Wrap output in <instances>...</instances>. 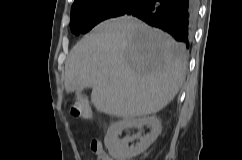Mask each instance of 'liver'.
Listing matches in <instances>:
<instances>
[{
    "label": "liver",
    "mask_w": 242,
    "mask_h": 160,
    "mask_svg": "<svg viewBox=\"0 0 242 160\" xmlns=\"http://www.w3.org/2000/svg\"><path fill=\"white\" fill-rule=\"evenodd\" d=\"M185 47L142 21L123 16L98 24L71 50L65 63L67 93L92 88L101 113L122 118L155 114L185 79Z\"/></svg>",
    "instance_id": "liver-1"
}]
</instances>
